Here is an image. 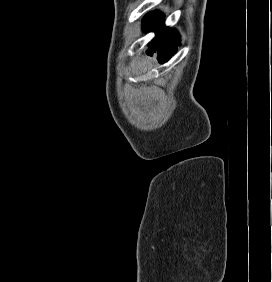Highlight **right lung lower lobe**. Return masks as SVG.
<instances>
[{"label":"right lung lower lobe","instance_id":"98d812e1","mask_svg":"<svg viewBox=\"0 0 272 282\" xmlns=\"http://www.w3.org/2000/svg\"><path fill=\"white\" fill-rule=\"evenodd\" d=\"M163 19L164 15L157 11L147 14L143 19V30H154L156 32V38L152 41L151 48L147 51V54L152 55L153 51L158 49V60L161 63L171 58L175 54L178 44H180L178 32L175 29L164 27Z\"/></svg>","mask_w":272,"mask_h":282}]
</instances>
